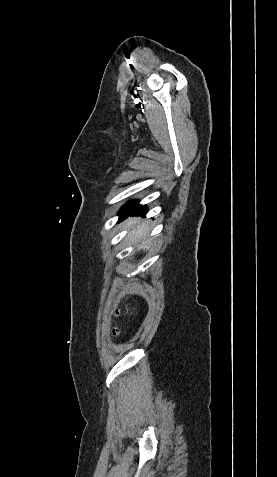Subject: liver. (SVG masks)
<instances>
[{
  "label": "liver",
  "instance_id": "6515ba94",
  "mask_svg": "<svg viewBox=\"0 0 277 477\" xmlns=\"http://www.w3.org/2000/svg\"><path fill=\"white\" fill-rule=\"evenodd\" d=\"M136 220L135 219H129V222L127 224V226H130L132 224H134ZM148 233V230L146 229V223H142L140 225H138L136 228H134L130 235L133 237V238H136L137 240H141L142 238H144ZM149 247V241L146 242V244L142 243L140 245V248H148Z\"/></svg>",
  "mask_w": 277,
  "mask_h": 477
}]
</instances>
